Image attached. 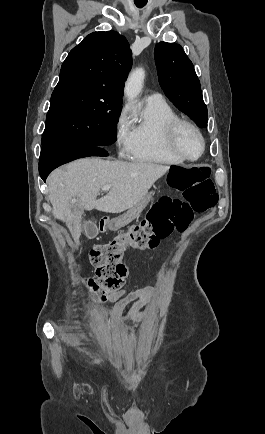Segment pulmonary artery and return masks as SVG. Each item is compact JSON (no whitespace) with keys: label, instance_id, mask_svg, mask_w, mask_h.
<instances>
[{"label":"pulmonary artery","instance_id":"1","mask_svg":"<svg viewBox=\"0 0 265 434\" xmlns=\"http://www.w3.org/2000/svg\"><path fill=\"white\" fill-rule=\"evenodd\" d=\"M161 92L160 91H151L148 95V102L149 103H158L161 99Z\"/></svg>","mask_w":265,"mask_h":434}]
</instances>
